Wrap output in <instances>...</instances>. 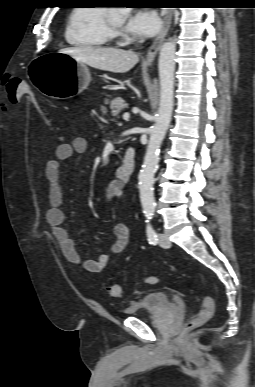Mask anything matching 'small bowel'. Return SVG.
<instances>
[{"mask_svg":"<svg viewBox=\"0 0 255 387\" xmlns=\"http://www.w3.org/2000/svg\"><path fill=\"white\" fill-rule=\"evenodd\" d=\"M87 140L83 137H76L69 143H61L55 149V156L49 160L45 167V177L48 182L49 204L46 212V219L52 228V232L58 241L65 258L74 264L81 265L86 271L100 273L106 269L111 257L122 253L129 243L130 232L125 224L114 226V241L108 253L100 254L96 259H82L79 255L75 241L65 226V213L62 209L63 191L61 185V164L74 155L85 153ZM106 196L109 200L119 199L123 196V186L118 181L111 182L106 189Z\"/></svg>","mask_w":255,"mask_h":387,"instance_id":"obj_1","label":"small bowel"}]
</instances>
